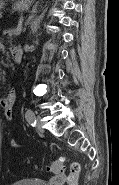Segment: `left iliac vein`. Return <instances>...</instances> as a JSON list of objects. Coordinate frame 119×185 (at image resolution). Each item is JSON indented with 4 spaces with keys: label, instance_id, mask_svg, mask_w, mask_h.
Masks as SVG:
<instances>
[{
    "label": "left iliac vein",
    "instance_id": "1",
    "mask_svg": "<svg viewBox=\"0 0 119 185\" xmlns=\"http://www.w3.org/2000/svg\"><path fill=\"white\" fill-rule=\"evenodd\" d=\"M36 121H37V129H38V131L42 132L43 131V127H42L41 117L38 116L36 118Z\"/></svg>",
    "mask_w": 119,
    "mask_h": 185
}]
</instances>
